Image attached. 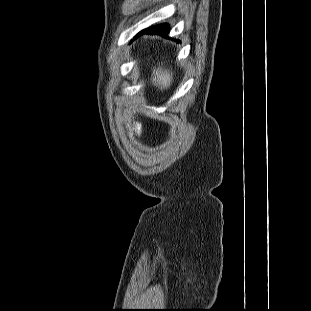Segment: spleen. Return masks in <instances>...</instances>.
<instances>
[{
	"label": "spleen",
	"instance_id": "obj_1",
	"mask_svg": "<svg viewBox=\"0 0 311 311\" xmlns=\"http://www.w3.org/2000/svg\"><path fill=\"white\" fill-rule=\"evenodd\" d=\"M154 78L153 83L154 85H159L161 89L168 88L170 86V83L172 81V74L170 75L169 72L163 71L160 69L157 71H153Z\"/></svg>",
	"mask_w": 311,
	"mask_h": 311
}]
</instances>
